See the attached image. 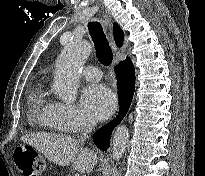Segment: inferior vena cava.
<instances>
[{
  "label": "inferior vena cava",
  "instance_id": "inferior-vena-cava-1",
  "mask_svg": "<svg viewBox=\"0 0 205 176\" xmlns=\"http://www.w3.org/2000/svg\"><path fill=\"white\" fill-rule=\"evenodd\" d=\"M95 122L89 118H84L81 126L80 142L83 143L89 138L90 132L93 130Z\"/></svg>",
  "mask_w": 205,
  "mask_h": 176
}]
</instances>
